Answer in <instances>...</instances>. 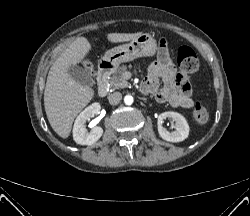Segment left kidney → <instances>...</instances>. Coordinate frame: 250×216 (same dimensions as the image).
I'll return each mask as SVG.
<instances>
[{"label": "left kidney", "mask_w": 250, "mask_h": 216, "mask_svg": "<svg viewBox=\"0 0 250 216\" xmlns=\"http://www.w3.org/2000/svg\"><path fill=\"white\" fill-rule=\"evenodd\" d=\"M170 118L175 122V131L169 132L162 127L164 119ZM190 127L181 114L177 112H164L158 117V133L160 137L168 142H181L184 141L189 135Z\"/></svg>", "instance_id": "5707ae66"}]
</instances>
